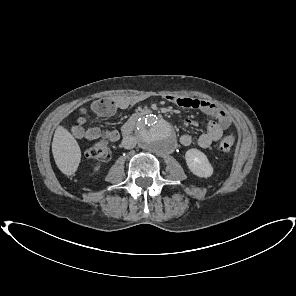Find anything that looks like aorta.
<instances>
[{
	"instance_id": "obj_1",
	"label": "aorta",
	"mask_w": 296,
	"mask_h": 296,
	"mask_svg": "<svg viewBox=\"0 0 296 296\" xmlns=\"http://www.w3.org/2000/svg\"><path fill=\"white\" fill-rule=\"evenodd\" d=\"M137 140L141 148L156 154L171 152L176 145L173 127L155 115H147L137 123Z\"/></svg>"
}]
</instances>
